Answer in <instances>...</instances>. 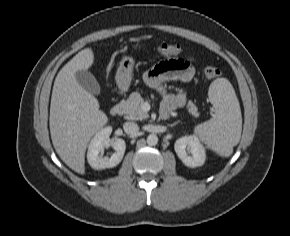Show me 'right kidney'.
Here are the masks:
<instances>
[{"label":"right kidney","mask_w":290,"mask_h":236,"mask_svg":"<svg viewBox=\"0 0 290 236\" xmlns=\"http://www.w3.org/2000/svg\"><path fill=\"white\" fill-rule=\"evenodd\" d=\"M111 132V127H105L97 132L89 143L87 160L93 169L100 170L105 168H112L117 166L123 159L126 149L125 141L120 138L111 141ZM109 146L114 148L115 153H113L110 158L101 157L99 154L103 152L104 148Z\"/></svg>","instance_id":"ca27d5eb"}]
</instances>
